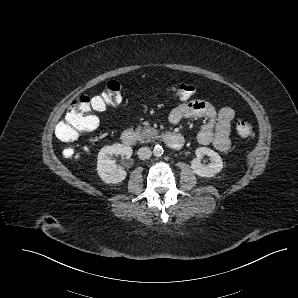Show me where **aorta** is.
<instances>
[{"mask_svg": "<svg viewBox=\"0 0 298 298\" xmlns=\"http://www.w3.org/2000/svg\"><path fill=\"white\" fill-rule=\"evenodd\" d=\"M153 154L155 156H161L163 154V148L161 145L157 144L153 148Z\"/></svg>", "mask_w": 298, "mask_h": 298, "instance_id": "obj_1", "label": "aorta"}]
</instances>
